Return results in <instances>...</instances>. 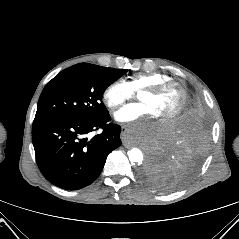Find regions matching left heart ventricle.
Listing matches in <instances>:
<instances>
[{"instance_id":"obj_1","label":"left heart ventricle","mask_w":239,"mask_h":239,"mask_svg":"<svg viewBox=\"0 0 239 239\" xmlns=\"http://www.w3.org/2000/svg\"><path fill=\"white\" fill-rule=\"evenodd\" d=\"M139 100L152 109L156 118L163 119L177 107L180 97L175 89H169L159 95L142 93Z\"/></svg>"}]
</instances>
